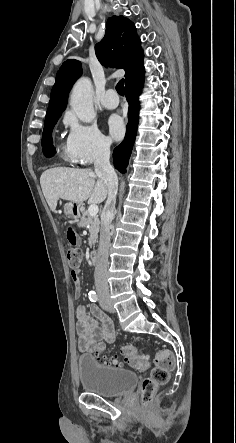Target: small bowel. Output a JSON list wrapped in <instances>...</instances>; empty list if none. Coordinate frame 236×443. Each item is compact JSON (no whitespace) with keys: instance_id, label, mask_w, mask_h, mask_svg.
<instances>
[{"instance_id":"1","label":"small bowel","mask_w":236,"mask_h":443,"mask_svg":"<svg viewBox=\"0 0 236 443\" xmlns=\"http://www.w3.org/2000/svg\"><path fill=\"white\" fill-rule=\"evenodd\" d=\"M74 284V294L76 297H79L81 289L78 275ZM90 312L92 316L88 314L87 308L84 305H79L76 309L78 346L80 350L87 352H92L94 345L99 340L107 343L115 341V332L111 319L97 306H91Z\"/></svg>"}]
</instances>
